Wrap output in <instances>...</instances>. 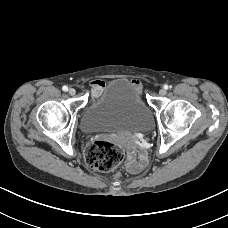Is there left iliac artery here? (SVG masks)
Instances as JSON below:
<instances>
[{"mask_svg":"<svg viewBox=\"0 0 228 228\" xmlns=\"http://www.w3.org/2000/svg\"><path fill=\"white\" fill-rule=\"evenodd\" d=\"M164 89H166V90H167V89H168V85H164Z\"/></svg>","mask_w":228,"mask_h":228,"instance_id":"1","label":"left iliac artery"}]
</instances>
